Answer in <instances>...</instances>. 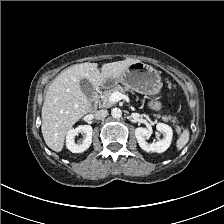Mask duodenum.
<instances>
[{
	"label": "duodenum",
	"mask_w": 224,
	"mask_h": 224,
	"mask_svg": "<svg viewBox=\"0 0 224 224\" xmlns=\"http://www.w3.org/2000/svg\"><path fill=\"white\" fill-rule=\"evenodd\" d=\"M98 91H99V88H96L94 93H93V96L91 98L90 104H91V107H92L93 110L96 109V106H97V103H98V101H97Z\"/></svg>",
	"instance_id": "1"
}]
</instances>
